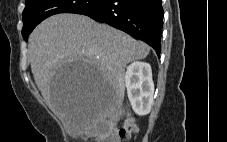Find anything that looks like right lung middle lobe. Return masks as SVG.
I'll use <instances>...</instances> for the list:
<instances>
[{
	"instance_id": "obj_1",
	"label": "right lung middle lobe",
	"mask_w": 227,
	"mask_h": 142,
	"mask_svg": "<svg viewBox=\"0 0 227 142\" xmlns=\"http://www.w3.org/2000/svg\"><path fill=\"white\" fill-rule=\"evenodd\" d=\"M106 0H28L23 11L22 36L29 34L44 19L58 13H79L102 5Z\"/></svg>"
}]
</instances>
